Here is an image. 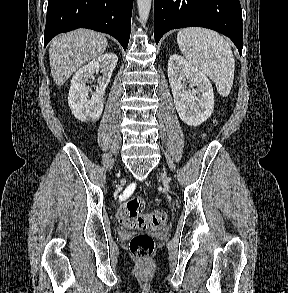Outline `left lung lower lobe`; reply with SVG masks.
Wrapping results in <instances>:
<instances>
[{"instance_id":"0a47b994","label":"left lung lower lobe","mask_w":288,"mask_h":293,"mask_svg":"<svg viewBox=\"0 0 288 293\" xmlns=\"http://www.w3.org/2000/svg\"><path fill=\"white\" fill-rule=\"evenodd\" d=\"M205 27L228 36L242 55V9L239 0H154V37L158 44L171 29Z\"/></svg>"}]
</instances>
